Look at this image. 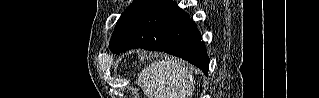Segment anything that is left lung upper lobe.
<instances>
[{"label":"left lung upper lobe","instance_id":"left-lung-upper-lobe-1","mask_svg":"<svg viewBox=\"0 0 319 98\" xmlns=\"http://www.w3.org/2000/svg\"><path fill=\"white\" fill-rule=\"evenodd\" d=\"M156 2L157 0H136L121 14L110 40L109 48L112 52L115 53L127 43Z\"/></svg>","mask_w":319,"mask_h":98}]
</instances>
